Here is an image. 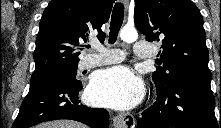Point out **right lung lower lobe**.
I'll use <instances>...</instances> for the list:
<instances>
[{
  "label": "right lung lower lobe",
  "mask_w": 221,
  "mask_h": 128,
  "mask_svg": "<svg viewBox=\"0 0 221 128\" xmlns=\"http://www.w3.org/2000/svg\"><path fill=\"white\" fill-rule=\"evenodd\" d=\"M81 90V84L58 78L31 85L13 128H28L57 119H72L91 128H108V111L81 104L78 100Z\"/></svg>",
  "instance_id": "98d812e1"
}]
</instances>
